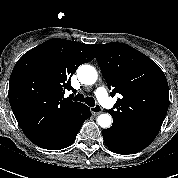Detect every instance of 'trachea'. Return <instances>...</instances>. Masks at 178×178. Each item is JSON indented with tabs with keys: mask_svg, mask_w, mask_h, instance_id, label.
<instances>
[{
	"mask_svg": "<svg viewBox=\"0 0 178 178\" xmlns=\"http://www.w3.org/2000/svg\"><path fill=\"white\" fill-rule=\"evenodd\" d=\"M74 101L85 102L88 106H95V100L93 97H84L83 94H77L74 97Z\"/></svg>",
	"mask_w": 178,
	"mask_h": 178,
	"instance_id": "1",
	"label": "trachea"
}]
</instances>
